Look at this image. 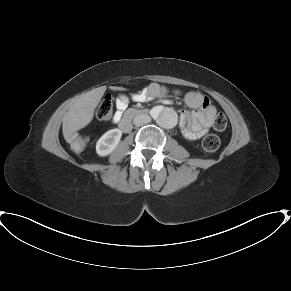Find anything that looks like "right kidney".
Listing matches in <instances>:
<instances>
[{
	"label": "right kidney",
	"mask_w": 291,
	"mask_h": 291,
	"mask_svg": "<svg viewBox=\"0 0 291 291\" xmlns=\"http://www.w3.org/2000/svg\"><path fill=\"white\" fill-rule=\"evenodd\" d=\"M122 131L118 128L107 131L96 143V152L99 156L109 155L119 144Z\"/></svg>",
	"instance_id": "right-kidney-1"
}]
</instances>
